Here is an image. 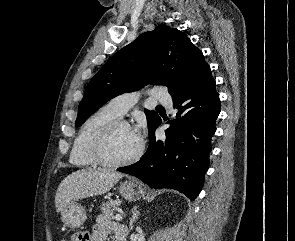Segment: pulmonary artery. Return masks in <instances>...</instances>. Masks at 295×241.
I'll return each instance as SVG.
<instances>
[{
  "mask_svg": "<svg viewBox=\"0 0 295 241\" xmlns=\"http://www.w3.org/2000/svg\"><path fill=\"white\" fill-rule=\"evenodd\" d=\"M152 95L156 101L164 104L165 106H172V98L166 90L156 88L152 91ZM139 96V92L123 93L109 100L105 107L117 116L121 117L137 103Z\"/></svg>",
  "mask_w": 295,
  "mask_h": 241,
  "instance_id": "e3ab8cb5",
  "label": "pulmonary artery"
}]
</instances>
